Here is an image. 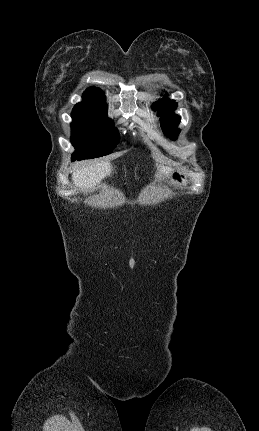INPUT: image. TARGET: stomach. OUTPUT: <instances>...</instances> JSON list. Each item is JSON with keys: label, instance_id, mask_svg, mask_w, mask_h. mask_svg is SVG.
I'll list each match as a JSON object with an SVG mask.
<instances>
[{"label": "stomach", "instance_id": "1", "mask_svg": "<svg viewBox=\"0 0 259 431\" xmlns=\"http://www.w3.org/2000/svg\"><path fill=\"white\" fill-rule=\"evenodd\" d=\"M170 180L172 183L181 187L186 186L188 182L187 177L179 171H172L170 173Z\"/></svg>", "mask_w": 259, "mask_h": 431}]
</instances>
